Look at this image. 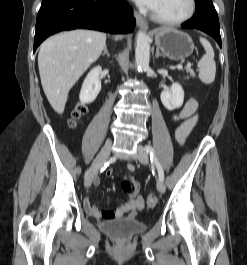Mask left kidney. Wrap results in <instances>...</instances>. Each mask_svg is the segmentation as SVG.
Listing matches in <instances>:
<instances>
[{
  "label": "left kidney",
  "mask_w": 247,
  "mask_h": 265,
  "mask_svg": "<svg viewBox=\"0 0 247 265\" xmlns=\"http://www.w3.org/2000/svg\"><path fill=\"white\" fill-rule=\"evenodd\" d=\"M164 107L173 111L182 106L184 101V91L179 83H175L170 90H163L160 95Z\"/></svg>",
  "instance_id": "1"
}]
</instances>
